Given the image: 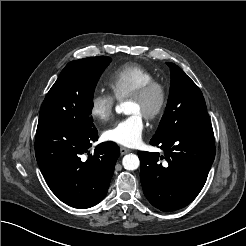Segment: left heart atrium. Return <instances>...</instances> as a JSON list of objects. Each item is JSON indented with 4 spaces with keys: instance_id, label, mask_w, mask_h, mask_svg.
Returning a JSON list of instances; mask_svg holds the SVG:
<instances>
[{
    "instance_id": "1",
    "label": "left heart atrium",
    "mask_w": 246,
    "mask_h": 246,
    "mask_svg": "<svg viewBox=\"0 0 246 246\" xmlns=\"http://www.w3.org/2000/svg\"><path fill=\"white\" fill-rule=\"evenodd\" d=\"M143 131L144 121L142 115L132 113L107 129L103 135L108 141L126 147H135L141 142Z\"/></svg>"
}]
</instances>
